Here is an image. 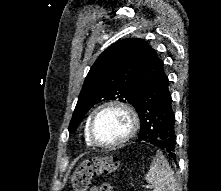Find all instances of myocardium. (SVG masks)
I'll return each mask as SVG.
<instances>
[{
  "instance_id": "myocardium-1",
  "label": "myocardium",
  "mask_w": 221,
  "mask_h": 191,
  "mask_svg": "<svg viewBox=\"0 0 221 191\" xmlns=\"http://www.w3.org/2000/svg\"><path fill=\"white\" fill-rule=\"evenodd\" d=\"M110 109L120 110L125 114L128 120V128L125 135L119 140L110 143H102L98 141L95 137L94 124L97 116L101 112ZM139 125H140L139 116L136 110L131 105L123 101L112 100L102 103L101 105L96 107L95 110L92 112L88 122V135L91 142L100 148H118L124 145L125 143H127L128 141H130L135 136V134L139 129Z\"/></svg>"
}]
</instances>
